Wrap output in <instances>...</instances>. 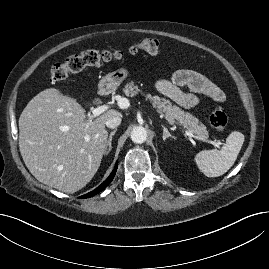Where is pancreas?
Instances as JSON below:
<instances>
[{
    "label": "pancreas",
    "mask_w": 269,
    "mask_h": 269,
    "mask_svg": "<svg viewBox=\"0 0 269 269\" xmlns=\"http://www.w3.org/2000/svg\"><path fill=\"white\" fill-rule=\"evenodd\" d=\"M123 92L126 96L134 97L139 92L143 95L144 92L134 84L133 81L125 85ZM147 99L150 100L153 107L157 109L159 113H164L165 118L170 122H177L186 127L195 136L206 139L209 137L206 126L199 121L198 118L194 117L188 112H184L178 106L172 105V103L159 96H152L151 94H146Z\"/></svg>",
    "instance_id": "pancreas-1"
}]
</instances>
